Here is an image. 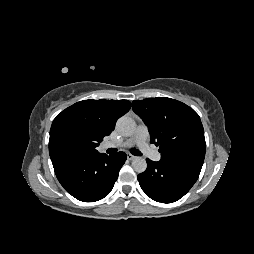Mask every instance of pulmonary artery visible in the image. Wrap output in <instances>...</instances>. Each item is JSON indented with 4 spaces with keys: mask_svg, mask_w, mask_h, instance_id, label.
Masks as SVG:
<instances>
[{
    "mask_svg": "<svg viewBox=\"0 0 254 254\" xmlns=\"http://www.w3.org/2000/svg\"><path fill=\"white\" fill-rule=\"evenodd\" d=\"M149 132L145 125H139L135 133L127 139L126 141L118 144L106 143L104 147H131L133 145H138L141 151H143L150 159L153 161L160 160V154L154 148L148 144Z\"/></svg>",
    "mask_w": 254,
    "mask_h": 254,
    "instance_id": "e3ab8cb5",
    "label": "pulmonary artery"
}]
</instances>
